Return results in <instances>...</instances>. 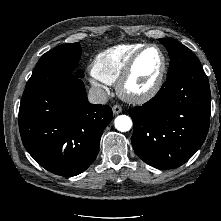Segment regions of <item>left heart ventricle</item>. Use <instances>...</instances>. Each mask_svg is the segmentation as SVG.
Returning <instances> with one entry per match:
<instances>
[{
	"label": "left heart ventricle",
	"instance_id": "left-heart-ventricle-1",
	"mask_svg": "<svg viewBox=\"0 0 221 221\" xmlns=\"http://www.w3.org/2000/svg\"><path fill=\"white\" fill-rule=\"evenodd\" d=\"M161 67V55L155 48L147 49L137 61L133 74L127 83L131 92L146 90L154 82Z\"/></svg>",
	"mask_w": 221,
	"mask_h": 221
}]
</instances>
